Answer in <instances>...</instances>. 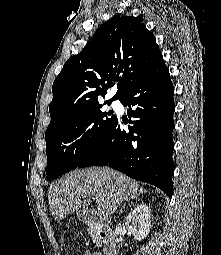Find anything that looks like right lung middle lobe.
I'll list each match as a JSON object with an SVG mask.
<instances>
[{
	"label": "right lung middle lobe",
	"mask_w": 221,
	"mask_h": 255,
	"mask_svg": "<svg viewBox=\"0 0 221 255\" xmlns=\"http://www.w3.org/2000/svg\"><path fill=\"white\" fill-rule=\"evenodd\" d=\"M107 101L104 104H110ZM111 111L97 103L65 119L45 133L47 180H52L77 166L96 147L115 121Z\"/></svg>",
	"instance_id": "right-lung-middle-lobe-1"
}]
</instances>
